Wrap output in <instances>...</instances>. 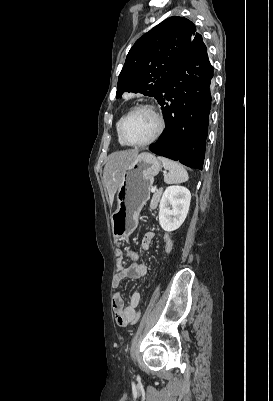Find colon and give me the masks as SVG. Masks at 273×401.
<instances>
[{"instance_id": "5ec220e1", "label": "colon", "mask_w": 273, "mask_h": 401, "mask_svg": "<svg viewBox=\"0 0 273 401\" xmlns=\"http://www.w3.org/2000/svg\"><path fill=\"white\" fill-rule=\"evenodd\" d=\"M142 279H145V276H142Z\"/></svg>"}]
</instances>
